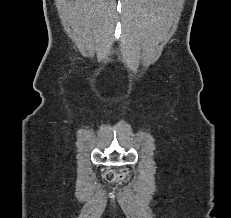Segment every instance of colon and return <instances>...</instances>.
Segmentation results:
<instances>
[{"label":"colon","mask_w":231,"mask_h":218,"mask_svg":"<svg viewBox=\"0 0 231 218\" xmlns=\"http://www.w3.org/2000/svg\"><path fill=\"white\" fill-rule=\"evenodd\" d=\"M124 177L123 174L121 173H118L114 170H107L105 173H104V178L108 181V182H115V181H118L120 179H122Z\"/></svg>","instance_id":"colon-1"}]
</instances>
